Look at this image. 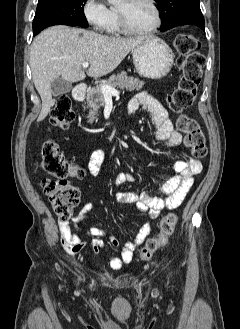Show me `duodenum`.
Masks as SVG:
<instances>
[{"label": "duodenum", "mask_w": 240, "mask_h": 329, "mask_svg": "<svg viewBox=\"0 0 240 329\" xmlns=\"http://www.w3.org/2000/svg\"><path fill=\"white\" fill-rule=\"evenodd\" d=\"M86 95V86L84 84H78L73 90V97L77 102H83Z\"/></svg>", "instance_id": "duodenum-1"}]
</instances>
